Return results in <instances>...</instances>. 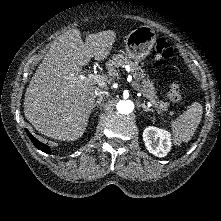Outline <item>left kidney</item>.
I'll list each match as a JSON object with an SVG mask.
<instances>
[{
    "label": "left kidney",
    "mask_w": 221,
    "mask_h": 221,
    "mask_svg": "<svg viewBox=\"0 0 221 221\" xmlns=\"http://www.w3.org/2000/svg\"><path fill=\"white\" fill-rule=\"evenodd\" d=\"M143 141L147 150L157 157L166 156L171 149V135L163 129L156 127L145 128Z\"/></svg>",
    "instance_id": "5707ae66"
}]
</instances>
